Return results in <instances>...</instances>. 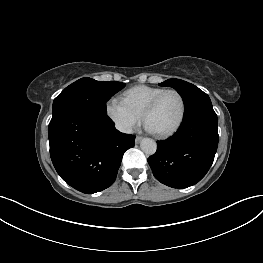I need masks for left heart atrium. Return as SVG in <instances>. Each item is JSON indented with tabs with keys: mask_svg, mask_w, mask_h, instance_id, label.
Listing matches in <instances>:
<instances>
[{
	"mask_svg": "<svg viewBox=\"0 0 263 263\" xmlns=\"http://www.w3.org/2000/svg\"><path fill=\"white\" fill-rule=\"evenodd\" d=\"M147 127V129L149 130V131H152L153 132V130L147 125L146 126Z\"/></svg>",
	"mask_w": 263,
	"mask_h": 263,
	"instance_id": "left-heart-atrium-1",
	"label": "left heart atrium"
}]
</instances>
